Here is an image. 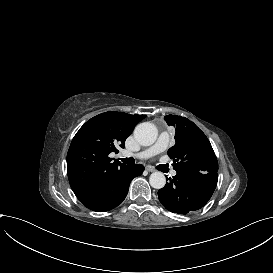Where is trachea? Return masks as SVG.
<instances>
[{
  "label": "trachea",
  "mask_w": 273,
  "mask_h": 273,
  "mask_svg": "<svg viewBox=\"0 0 273 273\" xmlns=\"http://www.w3.org/2000/svg\"><path fill=\"white\" fill-rule=\"evenodd\" d=\"M124 164L127 165H133L135 163V159H133L132 157L130 158H119Z\"/></svg>",
  "instance_id": "1"
}]
</instances>
